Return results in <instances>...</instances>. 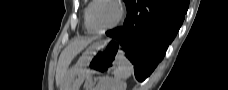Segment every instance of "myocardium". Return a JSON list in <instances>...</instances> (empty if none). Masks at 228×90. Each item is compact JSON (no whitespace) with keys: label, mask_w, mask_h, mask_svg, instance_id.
Returning a JSON list of instances; mask_svg holds the SVG:
<instances>
[{"label":"myocardium","mask_w":228,"mask_h":90,"mask_svg":"<svg viewBox=\"0 0 228 90\" xmlns=\"http://www.w3.org/2000/svg\"><path fill=\"white\" fill-rule=\"evenodd\" d=\"M99 1H106V2L112 3L117 9V16H116L115 20L109 26L105 27L104 29H100V30L95 29L92 26L91 19H90L91 10H92L93 6L96 3H98ZM123 17H124V8L120 1H118V0H93V1H91L90 6L86 13V23H87L88 28L93 33L102 34V33H105L107 31L113 29L114 27H116L122 21Z\"/></svg>","instance_id":"f54148a6"}]
</instances>
